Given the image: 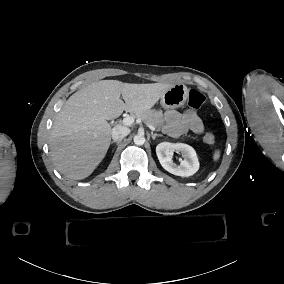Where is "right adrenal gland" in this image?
Here are the masks:
<instances>
[{"mask_svg": "<svg viewBox=\"0 0 284 284\" xmlns=\"http://www.w3.org/2000/svg\"><path fill=\"white\" fill-rule=\"evenodd\" d=\"M120 142H121V140L120 141H111V144L116 143L117 145H119Z\"/></svg>", "mask_w": 284, "mask_h": 284, "instance_id": "obj_1", "label": "right adrenal gland"}]
</instances>
